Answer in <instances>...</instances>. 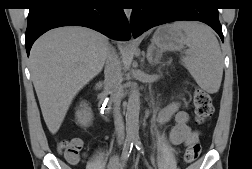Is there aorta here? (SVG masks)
Masks as SVG:
<instances>
[{"instance_id": "1", "label": "aorta", "mask_w": 252, "mask_h": 169, "mask_svg": "<svg viewBox=\"0 0 252 169\" xmlns=\"http://www.w3.org/2000/svg\"><path fill=\"white\" fill-rule=\"evenodd\" d=\"M140 93L137 86L129 93L126 108V138L133 142L139 139Z\"/></svg>"}]
</instances>
